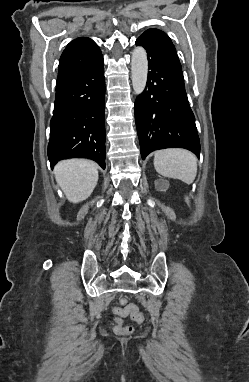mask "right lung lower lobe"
<instances>
[{
  "label": "right lung lower lobe",
  "instance_id": "obj_1",
  "mask_svg": "<svg viewBox=\"0 0 249 382\" xmlns=\"http://www.w3.org/2000/svg\"><path fill=\"white\" fill-rule=\"evenodd\" d=\"M105 77L103 57L56 88L50 122L48 158L53 168L61 159L90 158L105 169Z\"/></svg>",
  "mask_w": 249,
  "mask_h": 382
}]
</instances>
